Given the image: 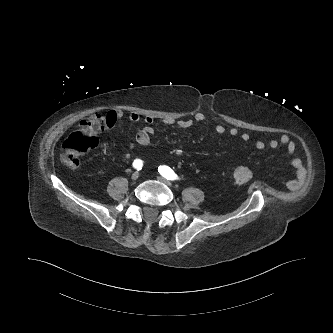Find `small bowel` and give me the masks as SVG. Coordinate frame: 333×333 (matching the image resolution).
Wrapping results in <instances>:
<instances>
[{
    "label": "small bowel",
    "mask_w": 333,
    "mask_h": 333,
    "mask_svg": "<svg viewBox=\"0 0 333 333\" xmlns=\"http://www.w3.org/2000/svg\"><path fill=\"white\" fill-rule=\"evenodd\" d=\"M112 113L115 119L121 118L123 116L122 111H113ZM129 120L133 123H137L141 120V116L138 113L133 112L129 115ZM206 120L207 117L205 114L197 113L191 118L182 119L176 122L170 119H165L164 123L167 125H175L180 129H188L192 127L194 124L202 123ZM143 121L145 123V126L138 131L136 135V142L139 145L146 146L150 144L152 137L154 135V129H153L154 118L152 116H145L143 118ZM214 129L215 132L219 135L228 134L229 136L232 137L239 136L241 140L244 142L249 141L251 138L249 133L246 132L240 133L237 128L235 127L228 128L221 123H215ZM267 144L270 148L273 149L277 148L279 145H283L286 148L289 156L291 157V164L298 173V180H293L291 182L292 186H296L303 175V164L300 157L297 154V148L295 142L289 137V135L282 134L279 138L270 139ZM255 147L260 150L264 149L266 147V142L261 139L256 140Z\"/></svg>",
    "instance_id": "c3829d8e"
}]
</instances>
